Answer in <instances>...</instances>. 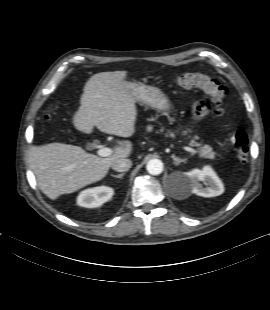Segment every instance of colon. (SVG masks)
Instances as JSON below:
<instances>
[{"instance_id": "1", "label": "colon", "mask_w": 270, "mask_h": 310, "mask_svg": "<svg viewBox=\"0 0 270 310\" xmlns=\"http://www.w3.org/2000/svg\"><path fill=\"white\" fill-rule=\"evenodd\" d=\"M175 82L178 86L183 88L201 89L217 106V115L225 116V99L228 91L217 79L201 72H187L178 75ZM197 110L205 112V103H200L197 106ZM47 118L49 119L50 115H47ZM230 141L236 151L238 159L241 162H246L249 158V139L247 134L239 129H230Z\"/></svg>"}]
</instances>
